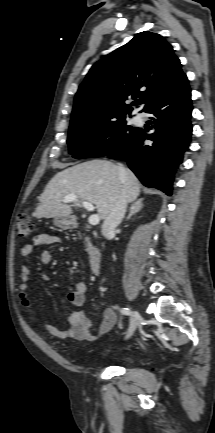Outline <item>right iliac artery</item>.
Listing matches in <instances>:
<instances>
[{
    "label": "right iliac artery",
    "mask_w": 215,
    "mask_h": 433,
    "mask_svg": "<svg viewBox=\"0 0 215 433\" xmlns=\"http://www.w3.org/2000/svg\"><path fill=\"white\" fill-rule=\"evenodd\" d=\"M120 312L124 315H131V310L129 308H121Z\"/></svg>",
    "instance_id": "obj_1"
}]
</instances>
